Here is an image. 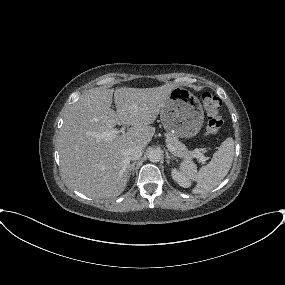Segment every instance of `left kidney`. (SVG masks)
<instances>
[{
	"instance_id": "obj_1",
	"label": "left kidney",
	"mask_w": 285,
	"mask_h": 285,
	"mask_svg": "<svg viewBox=\"0 0 285 285\" xmlns=\"http://www.w3.org/2000/svg\"><path fill=\"white\" fill-rule=\"evenodd\" d=\"M171 175L173 180L176 181L181 187L188 188L191 185V182L183 174L177 171L176 168L172 169Z\"/></svg>"
}]
</instances>
